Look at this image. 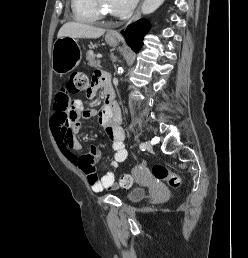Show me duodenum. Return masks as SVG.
I'll use <instances>...</instances> for the list:
<instances>
[{
  "instance_id": "1",
  "label": "duodenum",
  "mask_w": 248,
  "mask_h": 258,
  "mask_svg": "<svg viewBox=\"0 0 248 258\" xmlns=\"http://www.w3.org/2000/svg\"><path fill=\"white\" fill-rule=\"evenodd\" d=\"M102 83L104 86V99H105V106L104 108L107 110L114 109V90L109 81V79L104 75L102 77Z\"/></svg>"
}]
</instances>
